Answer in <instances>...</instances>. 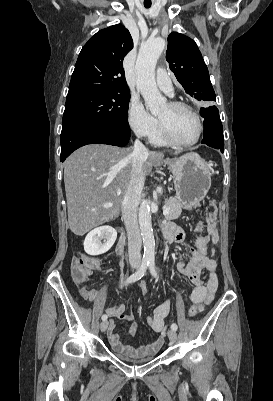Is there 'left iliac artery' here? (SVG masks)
<instances>
[{
    "label": "left iliac artery",
    "mask_w": 273,
    "mask_h": 401,
    "mask_svg": "<svg viewBox=\"0 0 273 401\" xmlns=\"http://www.w3.org/2000/svg\"><path fill=\"white\" fill-rule=\"evenodd\" d=\"M149 269H150V271H151V274L154 276V277H157V272H156V269H155V262H154V257H152V258H150V260H149ZM177 325H176V323H172V325H171V329H173V330H177Z\"/></svg>",
    "instance_id": "1"
}]
</instances>
